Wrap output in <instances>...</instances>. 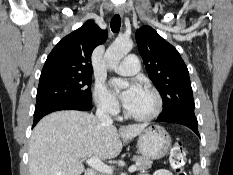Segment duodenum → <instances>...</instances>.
Wrapping results in <instances>:
<instances>
[{"label": "duodenum", "instance_id": "obj_1", "mask_svg": "<svg viewBox=\"0 0 233 175\" xmlns=\"http://www.w3.org/2000/svg\"><path fill=\"white\" fill-rule=\"evenodd\" d=\"M84 175H96V173L93 169H87L85 171Z\"/></svg>", "mask_w": 233, "mask_h": 175}]
</instances>
